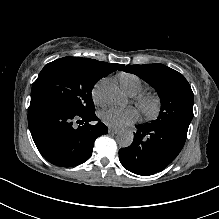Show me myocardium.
Segmentation results:
<instances>
[{
  "label": "myocardium",
  "mask_w": 219,
  "mask_h": 219,
  "mask_svg": "<svg viewBox=\"0 0 219 219\" xmlns=\"http://www.w3.org/2000/svg\"><path fill=\"white\" fill-rule=\"evenodd\" d=\"M134 102L145 119L154 121L160 117L163 102L159 95L152 92H141L136 94Z\"/></svg>",
  "instance_id": "1"
}]
</instances>
